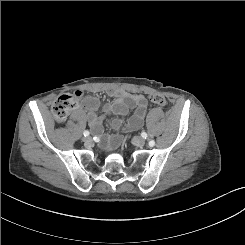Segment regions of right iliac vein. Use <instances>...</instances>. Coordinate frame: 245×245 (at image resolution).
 Here are the masks:
<instances>
[{"instance_id":"obj_1","label":"right iliac vein","mask_w":245,"mask_h":245,"mask_svg":"<svg viewBox=\"0 0 245 245\" xmlns=\"http://www.w3.org/2000/svg\"><path fill=\"white\" fill-rule=\"evenodd\" d=\"M85 143H91V141H92V139L90 138V137H88V136H86V137H83V139H82Z\"/></svg>"}]
</instances>
